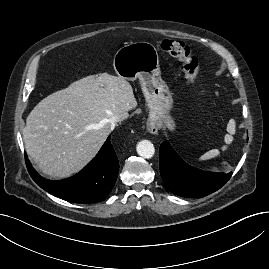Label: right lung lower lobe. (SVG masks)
<instances>
[{
	"label": "right lung lower lobe",
	"instance_id": "98d812e1",
	"mask_svg": "<svg viewBox=\"0 0 269 269\" xmlns=\"http://www.w3.org/2000/svg\"><path fill=\"white\" fill-rule=\"evenodd\" d=\"M28 171L33 180L45 191L73 203H92L106 199L119 171V161L110 143V136L90 163L76 175L51 181L41 177L26 156Z\"/></svg>",
	"mask_w": 269,
	"mask_h": 269
}]
</instances>
